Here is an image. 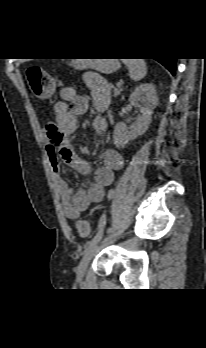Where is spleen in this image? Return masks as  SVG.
Returning a JSON list of instances; mask_svg holds the SVG:
<instances>
[{"label": "spleen", "mask_w": 206, "mask_h": 348, "mask_svg": "<svg viewBox=\"0 0 206 348\" xmlns=\"http://www.w3.org/2000/svg\"><path fill=\"white\" fill-rule=\"evenodd\" d=\"M123 63L128 67L133 81H140L146 76L147 66L143 59H123Z\"/></svg>", "instance_id": "obj_1"}]
</instances>
